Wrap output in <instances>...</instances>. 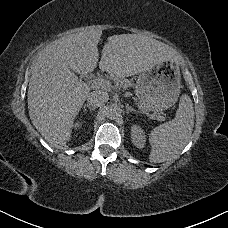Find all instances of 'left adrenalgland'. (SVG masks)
Returning a JSON list of instances; mask_svg holds the SVG:
<instances>
[{
  "label": "left adrenal gland",
  "mask_w": 228,
  "mask_h": 228,
  "mask_svg": "<svg viewBox=\"0 0 228 228\" xmlns=\"http://www.w3.org/2000/svg\"><path fill=\"white\" fill-rule=\"evenodd\" d=\"M126 112L127 113H129V112H136V110L134 108H132L131 106L126 105Z\"/></svg>",
  "instance_id": "left-adrenal-gland-1"
}]
</instances>
